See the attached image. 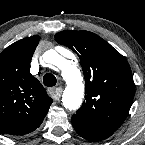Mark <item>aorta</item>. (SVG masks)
Wrapping results in <instances>:
<instances>
[{
  "label": "aorta",
  "mask_w": 145,
  "mask_h": 145,
  "mask_svg": "<svg viewBox=\"0 0 145 145\" xmlns=\"http://www.w3.org/2000/svg\"><path fill=\"white\" fill-rule=\"evenodd\" d=\"M47 61L61 69L66 81L67 86L62 95L63 105L69 110H77L82 104L84 95L83 79L79 69L53 50L47 52Z\"/></svg>",
  "instance_id": "1"
}]
</instances>
